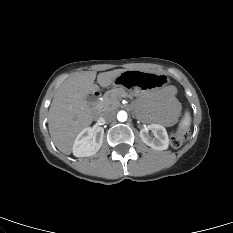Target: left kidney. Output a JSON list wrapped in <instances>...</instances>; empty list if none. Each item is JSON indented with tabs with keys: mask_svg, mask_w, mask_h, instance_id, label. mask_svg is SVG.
I'll use <instances>...</instances> for the list:
<instances>
[{
	"mask_svg": "<svg viewBox=\"0 0 233 233\" xmlns=\"http://www.w3.org/2000/svg\"><path fill=\"white\" fill-rule=\"evenodd\" d=\"M149 130L155 133V137L152 138L149 134ZM140 137L142 141L155 150H166L169 146V138L166 129L159 124H151L145 126L140 130Z\"/></svg>",
	"mask_w": 233,
	"mask_h": 233,
	"instance_id": "obj_1",
	"label": "left kidney"
}]
</instances>
